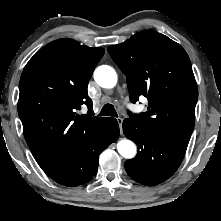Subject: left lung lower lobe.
<instances>
[{
    "label": "left lung lower lobe",
    "instance_id": "left-lung-lower-lobe-1",
    "mask_svg": "<svg viewBox=\"0 0 221 221\" xmlns=\"http://www.w3.org/2000/svg\"><path fill=\"white\" fill-rule=\"evenodd\" d=\"M125 136L138 147L135 158L125 162L127 174L135 181L153 186L171 177L180 166L187 145L162 138L137 121H123Z\"/></svg>",
    "mask_w": 221,
    "mask_h": 221
}]
</instances>
